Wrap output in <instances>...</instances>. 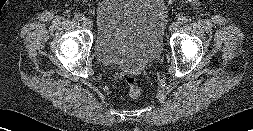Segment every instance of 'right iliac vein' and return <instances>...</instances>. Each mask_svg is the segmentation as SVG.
<instances>
[{"label":"right iliac vein","instance_id":"right-iliac-vein-1","mask_svg":"<svg viewBox=\"0 0 253 131\" xmlns=\"http://www.w3.org/2000/svg\"><path fill=\"white\" fill-rule=\"evenodd\" d=\"M84 24H85L86 27H88V28H90V29L93 28V22H92L91 19L86 18V19L84 20Z\"/></svg>","mask_w":253,"mask_h":131}]
</instances>
